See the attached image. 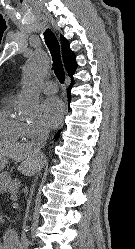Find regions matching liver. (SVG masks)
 I'll return each mask as SVG.
<instances>
[{
    "mask_svg": "<svg viewBox=\"0 0 135 249\" xmlns=\"http://www.w3.org/2000/svg\"><path fill=\"white\" fill-rule=\"evenodd\" d=\"M0 156L10 158L16 162H21L18 167L19 172L26 176H33L42 168L44 156L35 155L30 144L9 143L0 141Z\"/></svg>",
    "mask_w": 135,
    "mask_h": 249,
    "instance_id": "obj_1",
    "label": "liver"
}]
</instances>
